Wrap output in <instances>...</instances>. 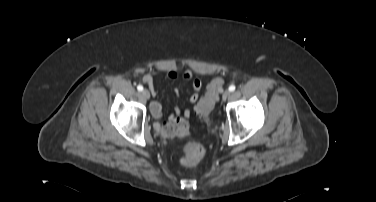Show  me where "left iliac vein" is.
<instances>
[{
    "label": "left iliac vein",
    "mask_w": 376,
    "mask_h": 202,
    "mask_svg": "<svg viewBox=\"0 0 376 202\" xmlns=\"http://www.w3.org/2000/svg\"><path fill=\"white\" fill-rule=\"evenodd\" d=\"M230 91L229 90H225L224 93L222 94V99L225 101L226 99H228V97L230 96Z\"/></svg>",
    "instance_id": "1"
}]
</instances>
